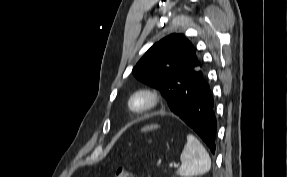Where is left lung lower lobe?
<instances>
[{
	"mask_svg": "<svg viewBox=\"0 0 287 177\" xmlns=\"http://www.w3.org/2000/svg\"><path fill=\"white\" fill-rule=\"evenodd\" d=\"M170 109L190 126L215 153L216 117L208 83L201 80L180 93L178 102Z\"/></svg>",
	"mask_w": 287,
	"mask_h": 177,
	"instance_id": "obj_1",
	"label": "left lung lower lobe"
}]
</instances>
